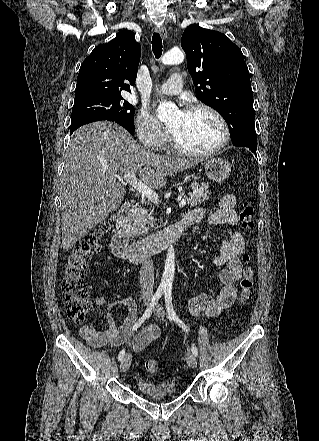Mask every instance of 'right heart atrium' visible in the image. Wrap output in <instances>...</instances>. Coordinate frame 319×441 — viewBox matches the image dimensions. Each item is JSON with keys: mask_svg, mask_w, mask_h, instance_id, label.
I'll use <instances>...</instances> for the list:
<instances>
[{"mask_svg": "<svg viewBox=\"0 0 319 441\" xmlns=\"http://www.w3.org/2000/svg\"><path fill=\"white\" fill-rule=\"evenodd\" d=\"M136 134L143 147L150 150H162L168 143L166 129L146 109L136 118Z\"/></svg>", "mask_w": 319, "mask_h": 441, "instance_id": "1", "label": "right heart atrium"}]
</instances>
